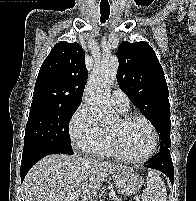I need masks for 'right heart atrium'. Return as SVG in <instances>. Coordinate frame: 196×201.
Returning a JSON list of instances; mask_svg holds the SVG:
<instances>
[{
	"label": "right heart atrium",
	"mask_w": 196,
	"mask_h": 201,
	"mask_svg": "<svg viewBox=\"0 0 196 201\" xmlns=\"http://www.w3.org/2000/svg\"><path fill=\"white\" fill-rule=\"evenodd\" d=\"M68 130L73 147L87 154H95L105 142V131L86 104L79 105L75 110Z\"/></svg>",
	"instance_id": "obj_1"
}]
</instances>
